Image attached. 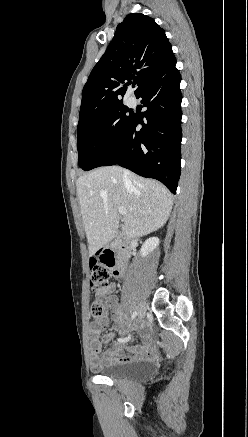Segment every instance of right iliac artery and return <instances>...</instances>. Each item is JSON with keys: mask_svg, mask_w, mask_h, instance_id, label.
I'll list each match as a JSON object with an SVG mask.
<instances>
[{"mask_svg": "<svg viewBox=\"0 0 248 437\" xmlns=\"http://www.w3.org/2000/svg\"><path fill=\"white\" fill-rule=\"evenodd\" d=\"M137 316V311H134L132 314V320ZM130 339V336L126 337V338H120L119 342H127Z\"/></svg>", "mask_w": 248, "mask_h": 437, "instance_id": "1", "label": "right iliac artery"}]
</instances>
